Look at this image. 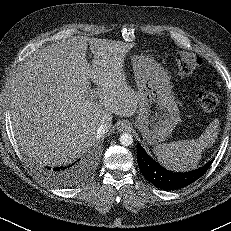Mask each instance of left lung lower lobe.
<instances>
[{"label":"left lung lower lobe","mask_w":231,"mask_h":231,"mask_svg":"<svg viewBox=\"0 0 231 231\" xmlns=\"http://www.w3.org/2000/svg\"><path fill=\"white\" fill-rule=\"evenodd\" d=\"M137 161L142 175L154 186L164 190L180 189L195 182L204 175L213 162L211 160L190 172L175 173L165 169L153 160L140 144H138Z\"/></svg>","instance_id":"left-lung-lower-lobe-1"}]
</instances>
